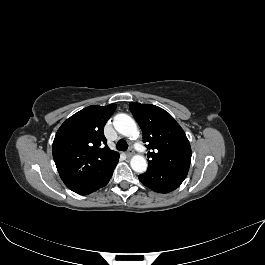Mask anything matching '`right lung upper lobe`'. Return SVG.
I'll return each instance as SVG.
<instances>
[{
    "label": "right lung upper lobe",
    "mask_w": 265,
    "mask_h": 265,
    "mask_svg": "<svg viewBox=\"0 0 265 265\" xmlns=\"http://www.w3.org/2000/svg\"><path fill=\"white\" fill-rule=\"evenodd\" d=\"M116 109L88 106L68 118L53 141V158L65 185L74 190L110 168L119 153L106 144L104 126Z\"/></svg>",
    "instance_id": "right-lung-upper-lobe-1"
}]
</instances>
